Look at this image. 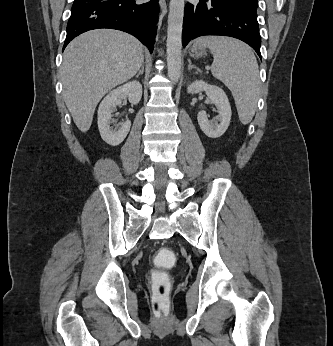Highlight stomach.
Here are the masks:
<instances>
[{"instance_id":"obj_1","label":"stomach","mask_w":333,"mask_h":346,"mask_svg":"<svg viewBox=\"0 0 333 346\" xmlns=\"http://www.w3.org/2000/svg\"><path fill=\"white\" fill-rule=\"evenodd\" d=\"M190 56L193 57V58H199V57H202L206 54V50L203 46H195L193 45L191 48H190Z\"/></svg>"}]
</instances>
